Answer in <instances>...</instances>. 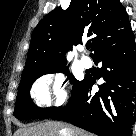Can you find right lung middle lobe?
Masks as SVG:
<instances>
[{
	"label": "right lung middle lobe",
	"mask_w": 136,
	"mask_h": 136,
	"mask_svg": "<svg viewBox=\"0 0 136 136\" xmlns=\"http://www.w3.org/2000/svg\"><path fill=\"white\" fill-rule=\"evenodd\" d=\"M55 72H63L71 79L73 84L72 95L80 85L81 81L76 80L71 74H69L68 67L66 64L53 67L51 69L37 72L26 76L21 79L18 94L15 103V110L13 115L17 119H46L50 118L53 114H55L61 107H53V108H39L36 107L30 97V88L32 83L42 75L48 73H55Z\"/></svg>",
	"instance_id": "right-lung-middle-lobe-1"
}]
</instances>
